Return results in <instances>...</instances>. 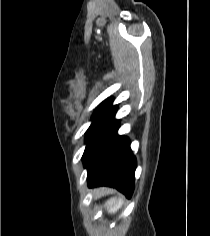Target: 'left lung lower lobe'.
<instances>
[{
	"label": "left lung lower lobe",
	"mask_w": 210,
	"mask_h": 236,
	"mask_svg": "<svg viewBox=\"0 0 210 236\" xmlns=\"http://www.w3.org/2000/svg\"><path fill=\"white\" fill-rule=\"evenodd\" d=\"M117 106H110L96 117L86 133L82 157L88 171L89 187H115L130 198L134 189V157L128 138L117 135Z\"/></svg>",
	"instance_id": "1"
}]
</instances>
